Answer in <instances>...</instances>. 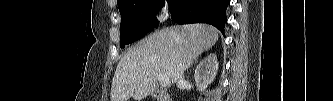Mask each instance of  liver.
<instances>
[{
  "mask_svg": "<svg viewBox=\"0 0 333 101\" xmlns=\"http://www.w3.org/2000/svg\"><path fill=\"white\" fill-rule=\"evenodd\" d=\"M218 40V30L206 24L161 29L128 49L119 61L111 86V101H141L158 88V75L174 84L190 64Z\"/></svg>",
  "mask_w": 333,
  "mask_h": 101,
  "instance_id": "1",
  "label": "liver"
}]
</instances>
